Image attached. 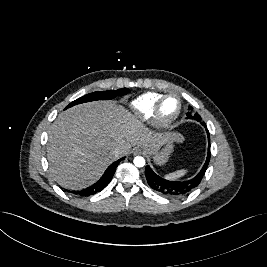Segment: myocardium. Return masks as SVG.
<instances>
[{"instance_id": "1", "label": "myocardium", "mask_w": 267, "mask_h": 267, "mask_svg": "<svg viewBox=\"0 0 267 267\" xmlns=\"http://www.w3.org/2000/svg\"><path fill=\"white\" fill-rule=\"evenodd\" d=\"M175 98L178 101V110L177 112L169 119H163L160 115V110L163 105V103L170 99ZM182 112V101L181 98L176 94H166L163 95L154 105L151 120L155 127L160 129H167L171 127L180 117Z\"/></svg>"}]
</instances>
